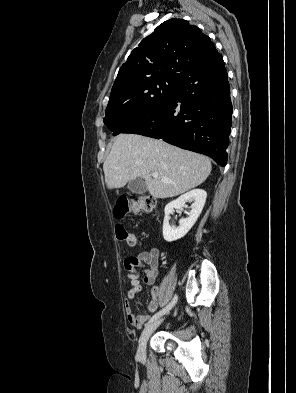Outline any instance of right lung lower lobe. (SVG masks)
<instances>
[{
    "label": "right lung lower lobe",
    "mask_w": 296,
    "mask_h": 393,
    "mask_svg": "<svg viewBox=\"0 0 296 393\" xmlns=\"http://www.w3.org/2000/svg\"><path fill=\"white\" fill-rule=\"evenodd\" d=\"M232 126L230 85L215 46L177 80L172 95L121 133L163 139L227 163Z\"/></svg>",
    "instance_id": "1"
}]
</instances>
